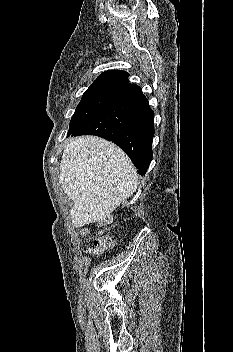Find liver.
<instances>
[{
    "label": "liver",
    "instance_id": "liver-1",
    "mask_svg": "<svg viewBox=\"0 0 233 352\" xmlns=\"http://www.w3.org/2000/svg\"><path fill=\"white\" fill-rule=\"evenodd\" d=\"M60 184L74 202L70 210L76 227L109 216L137 189V172L115 144L99 137L72 139L60 163Z\"/></svg>",
    "mask_w": 233,
    "mask_h": 352
}]
</instances>
